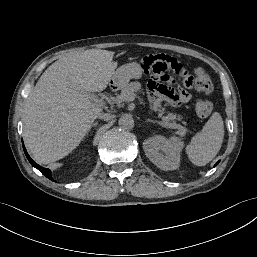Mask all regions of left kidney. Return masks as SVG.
Returning a JSON list of instances; mask_svg holds the SVG:
<instances>
[{"label": "left kidney", "mask_w": 257, "mask_h": 257, "mask_svg": "<svg viewBox=\"0 0 257 257\" xmlns=\"http://www.w3.org/2000/svg\"><path fill=\"white\" fill-rule=\"evenodd\" d=\"M184 143L178 137L153 136L143 143L149 160L164 171L175 170L180 165V154Z\"/></svg>", "instance_id": "left-kidney-1"}]
</instances>
